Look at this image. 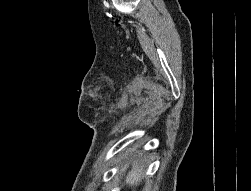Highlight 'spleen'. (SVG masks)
Instances as JSON below:
<instances>
[{
  "label": "spleen",
  "mask_w": 251,
  "mask_h": 191,
  "mask_svg": "<svg viewBox=\"0 0 251 191\" xmlns=\"http://www.w3.org/2000/svg\"><path fill=\"white\" fill-rule=\"evenodd\" d=\"M137 177H142V171H140V169H133V171H129V175L126 177V183L132 185V183L138 181Z\"/></svg>",
  "instance_id": "1"
}]
</instances>
